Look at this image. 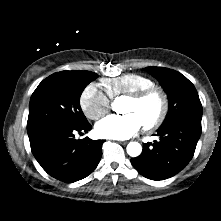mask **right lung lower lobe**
<instances>
[{"label": "right lung lower lobe", "mask_w": 221, "mask_h": 221, "mask_svg": "<svg viewBox=\"0 0 221 221\" xmlns=\"http://www.w3.org/2000/svg\"><path fill=\"white\" fill-rule=\"evenodd\" d=\"M91 125L52 123L28 134L31 150L41 167L52 177L72 183L87 177L98 165L104 140L86 137L76 140L75 133H87Z\"/></svg>", "instance_id": "98d812e1"}]
</instances>
